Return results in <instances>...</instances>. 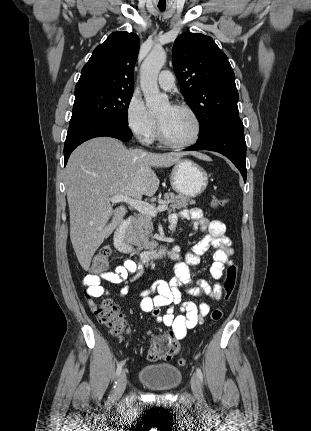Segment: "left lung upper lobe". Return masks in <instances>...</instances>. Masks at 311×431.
Here are the masks:
<instances>
[{
  "mask_svg": "<svg viewBox=\"0 0 311 431\" xmlns=\"http://www.w3.org/2000/svg\"><path fill=\"white\" fill-rule=\"evenodd\" d=\"M172 60L181 92L200 123L199 139L226 122L240 120L234 72L211 37L181 34Z\"/></svg>",
  "mask_w": 311,
  "mask_h": 431,
  "instance_id": "1",
  "label": "left lung upper lobe"
}]
</instances>
